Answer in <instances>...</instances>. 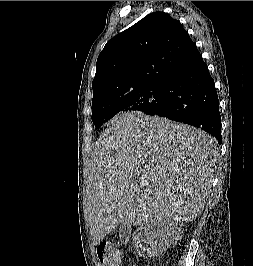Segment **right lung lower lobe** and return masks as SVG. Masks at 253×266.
I'll use <instances>...</instances> for the list:
<instances>
[{
  "label": "right lung lower lobe",
  "mask_w": 253,
  "mask_h": 266,
  "mask_svg": "<svg viewBox=\"0 0 253 266\" xmlns=\"http://www.w3.org/2000/svg\"><path fill=\"white\" fill-rule=\"evenodd\" d=\"M150 115L201 128L221 144L218 95L201 55L166 78L163 104Z\"/></svg>",
  "instance_id": "98d812e1"
}]
</instances>
